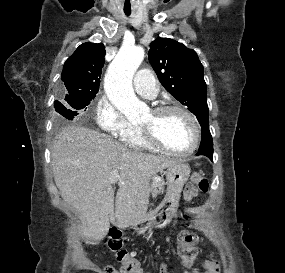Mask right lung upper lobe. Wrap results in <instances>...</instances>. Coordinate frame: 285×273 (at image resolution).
<instances>
[{
  "instance_id": "obj_1",
  "label": "right lung upper lobe",
  "mask_w": 285,
  "mask_h": 273,
  "mask_svg": "<svg viewBox=\"0 0 285 273\" xmlns=\"http://www.w3.org/2000/svg\"><path fill=\"white\" fill-rule=\"evenodd\" d=\"M104 56L103 44L86 42L81 44L66 60L61 74L67 91L66 98L96 95L99 90Z\"/></svg>"
}]
</instances>
